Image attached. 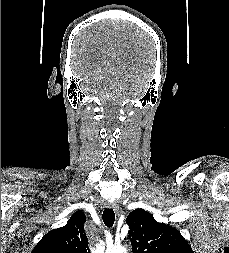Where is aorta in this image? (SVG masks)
<instances>
[{
	"mask_svg": "<svg viewBox=\"0 0 229 253\" xmlns=\"http://www.w3.org/2000/svg\"><path fill=\"white\" fill-rule=\"evenodd\" d=\"M106 253H127L124 246H113L107 249Z\"/></svg>",
	"mask_w": 229,
	"mask_h": 253,
	"instance_id": "762f6f07",
	"label": "aorta"
}]
</instances>
